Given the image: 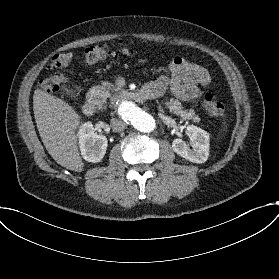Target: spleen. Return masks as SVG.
Listing matches in <instances>:
<instances>
[{"label":"spleen","instance_id":"3e777b00","mask_svg":"<svg viewBox=\"0 0 279 279\" xmlns=\"http://www.w3.org/2000/svg\"><path fill=\"white\" fill-rule=\"evenodd\" d=\"M226 116H224L225 118ZM222 124L224 125V128L222 129L223 134H226V130H227V120L225 119H221Z\"/></svg>","mask_w":279,"mask_h":279}]
</instances>
